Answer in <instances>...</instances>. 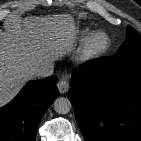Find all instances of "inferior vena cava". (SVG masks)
Instances as JSON below:
<instances>
[{
  "label": "inferior vena cava",
  "instance_id": "obj_1",
  "mask_svg": "<svg viewBox=\"0 0 141 141\" xmlns=\"http://www.w3.org/2000/svg\"><path fill=\"white\" fill-rule=\"evenodd\" d=\"M54 66L50 63H44L34 69L33 74L40 78H46L53 74Z\"/></svg>",
  "mask_w": 141,
  "mask_h": 141
}]
</instances>
